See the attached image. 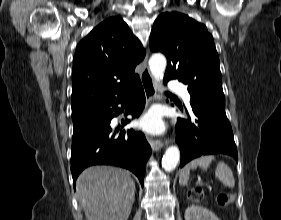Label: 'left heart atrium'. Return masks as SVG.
Wrapping results in <instances>:
<instances>
[{
	"mask_svg": "<svg viewBox=\"0 0 281 220\" xmlns=\"http://www.w3.org/2000/svg\"><path fill=\"white\" fill-rule=\"evenodd\" d=\"M139 127L150 134H159L164 130V124L158 111L152 110L139 121Z\"/></svg>",
	"mask_w": 281,
	"mask_h": 220,
	"instance_id": "obj_1",
	"label": "left heart atrium"
}]
</instances>
